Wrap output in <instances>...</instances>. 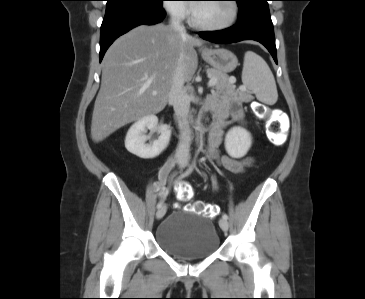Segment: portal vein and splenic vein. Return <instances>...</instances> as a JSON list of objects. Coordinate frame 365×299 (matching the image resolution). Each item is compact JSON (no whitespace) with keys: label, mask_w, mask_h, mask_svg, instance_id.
Segmentation results:
<instances>
[{"label":"portal vein and splenic vein","mask_w":365,"mask_h":299,"mask_svg":"<svg viewBox=\"0 0 365 299\" xmlns=\"http://www.w3.org/2000/svg\"><path fill=\"white\" fill-rule=\"evenodd\" d=\"M216 83H217V79L216 78H211L210 80H209V82H208V86L209 87H213V86H215L216 85ZM242 89H244V87H242ZM153 95H156L157 94V92H153L152 93Z\"/></svg>","instance_id":"1"}]
</instances>
